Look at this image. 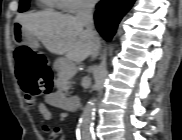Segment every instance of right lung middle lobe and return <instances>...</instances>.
<instances>
[{"label": "right lung middle lobe", "mask_w": 182, "mask_h": 140, "mask_svg": "<svg viewBox=\"0 0 182 140\" xmlns=\"http://www.w3.org/2000/svg\"><path fill=\"white\" fill-rule=\"evenodd\" d=\"M29 7V0L20 1L19 12H24Z\"/></svg>", "instance_id": "dd1d6c3e"}]
</instances>
